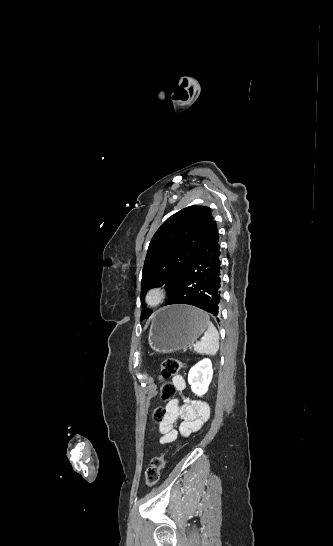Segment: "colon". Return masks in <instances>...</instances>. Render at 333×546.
Segmentation results:
<instances>
[{
  "label": "colon",
  "instance_id": "5ec220e1",
  "mask_svg": "<svg viewBox=\"0 0 333 546\" xmlns=\"http://www.w3.org/2000/svg\"><path fill=\"white\" fill-rule=\"evenodd\" d=\"M182 367H183V362L174 358L164 359L161 362L159 367V376H160V379L162 380L161 398L163 400L172 399L176 391L173 384L165 380L176 376ZM164 415H165V410L160 406L157 407L153 412V418L155 421H158V422H160L163 419ZM164 466H165V459L163 454L156 456L152 459L145 473V483L148 486H153L159 481L161 472Z\"/></svg>",
  "mask_w": 333,
  "mask_h": 546
}]
</instances>
